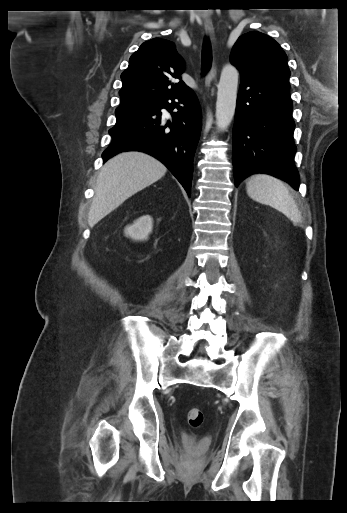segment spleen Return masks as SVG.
<instances>
[{"label": "spleen", "mask_w": 347, "mask_h": 513, "mask_svg": "<svg viewBox=\"0 0 347 513\" xmlns=\"http://www.w3.org/2000/svg\"><path fill=\"white\" fill-rule=\"evenodd\" d=\"M246 190L253 200L272 206L294 222L301 221L298 206L281 180L267 174H255L246 182Z\"/></svg>", "instance_id": "spleen-1"}]
</instances>
